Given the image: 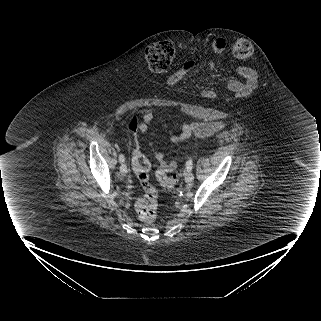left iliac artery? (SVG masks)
Masks as SVG:
<instances>
[{"label": "left iliac artery", "instance_id": "44dca946", "mask_svg": "<svg viewBox=\"0 0 321 321\" xmlns=\"http://www.w3.org/2000/svg\"><path fill=\"white\" fill-rule=\"evenodd\" d=\"M192 165H193V161L192 159H189L186 163L187 170H192Z\"/></svg>", "mask_w": 321, "mask_h": 321}]
</instances>
